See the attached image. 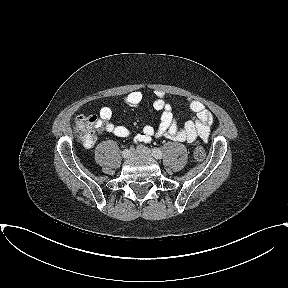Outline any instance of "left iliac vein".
<instances>
[{"instance_id":"left-iliac-vein-1","label":"left iliac vein","mask_w":288,"mask_h":288,"mask_svg":"<svg viewBox=\"0 0 288 288\" xmlns=\"http://www.w3.org/2000/svg\"><path fill=\"white\" fill-rule=\"evenodd\" d=\"M136 152H137L138 154H140V155H144V156H147V157H151V156H152L151 150L148 149V148L145 147V146H142V145L137 146Z\"/></svg>"}]
</instances>
